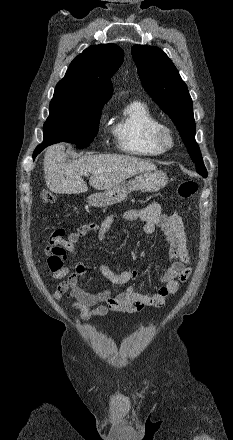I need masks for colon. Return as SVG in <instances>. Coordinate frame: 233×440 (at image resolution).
<instances>
[{
    "label": "colon",
    "mask_w": 233,
    "mask_h": 440,
    "mask_svg": "<svg viewBox=\"0 0 233 440\" xmlns=\"http://www.w3.org/2000/svg\"><path fill=\"white\" fill-rule=\"evenodd\" d=\"M198 189V184L195 180H185L178 187V195L181 198H191L193 197ZM42 200L46 203L54 202V196L48 191L42 192Z\"/></svg>",
    "instance_id": "obj_1"
}]
</instances>
